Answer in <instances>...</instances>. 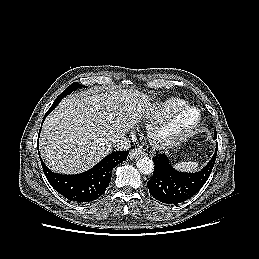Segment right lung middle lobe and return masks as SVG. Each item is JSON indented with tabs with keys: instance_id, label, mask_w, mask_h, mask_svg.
<instances>
[{
	"instance_id": "right-lung-middle-lobe-1",
	"label": "right lung middle lobe",
	"mask_w": 259,
	"mask_h": 259,
	"mask_svg": "<svg viewBox=\"0 0 259 259\" xmlns=\"http://www.w3.org/2000/svg\"><path fill=\"white\" fill-rule=\"evenodd\" d=\"M86 86L80 85L79 83H72L69 87H67L54 101L52 106L48 111H52L58 105V103L67 95H69L72 91L76 90L77 88H85Z\"/></svg>"
}]
</instances>
